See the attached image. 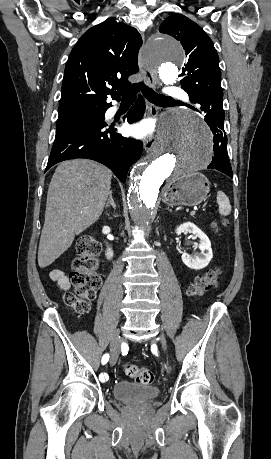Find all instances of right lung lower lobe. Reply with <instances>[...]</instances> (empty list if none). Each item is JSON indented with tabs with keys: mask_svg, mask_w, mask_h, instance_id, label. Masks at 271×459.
Segmentation results:
<instances>
[{
	"mask_svg": "<svg viewBox=\"0 0 271 459\" xmlns=\"http://www.w3.org/2000/svg\"><path fill=\"white\" fill-rule=\"evenodd\" d=\"M144 109V100L139 96L127 114V121L132 123L141 118ZM106 126L104 119H98L78 121L56 128V138L45 172L61 161L87 158L104 164L125 183L130 166L141 156L142 143L122 137L112 126L108 129Z\"/></svg>",
	"mask_w": 271,
	"mask_h": 459,
	"instance_id": "1",
	"label": "right lung lower lobe"
}]
</instances>
